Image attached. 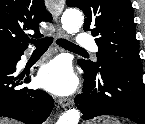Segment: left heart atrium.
I'll return each instance as SVG.
<instances>
[{
	"label": "left heart atrium",
	"mask_w": 145,
	"mask_h": 124,
	"mask_svg": "<svg viewBox=\"0 0 145 124\" xmlns=\"http://www.w3.org/2000/svg\"><path fill=\"white\" fill-rule=\"evenodd\" d=\"M38 82L45 89L58 95L69 94L76 86L71 67L63 60H55L45 65L39 72Z\"/></svg>",
	"instance_id": "obj_1"
}]
</instances>
